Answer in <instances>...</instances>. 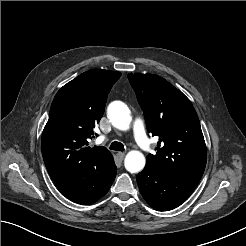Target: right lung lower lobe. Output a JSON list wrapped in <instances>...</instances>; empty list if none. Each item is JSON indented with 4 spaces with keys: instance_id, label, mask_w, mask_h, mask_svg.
I'll return each instance as SVG.
<instances>
[{
    "instance_id": "right-lung-lower-lobe-1",
    "label": "right lung lower lobe",
    "mask_w": 246,
    "mask_h": 246,
    "mask_svg": "<svg viewBox=\"0 0 246 246\" xmlns=\"http://www.w3.org/2000/svg\"><path fill=\"white\" fill-rule=\"evenodd\" d=\"M117 172L109 166L90 167L82 172L54 180L59 191L71 201L88 205L103 197L111 187Z\"/></svg>"
}]
</instances>
